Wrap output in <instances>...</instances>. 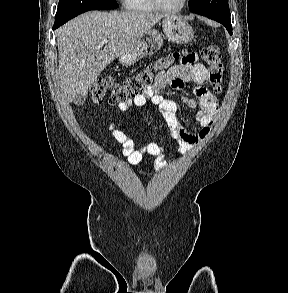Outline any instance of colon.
Returning a JSON list of instances; mask_svg holds the SVG:
<instances>
[{
	"label": "colon",
	"instance_id": "colon-1",
	"mask_svg": "<svg viewBox=\"0 0 288 293\" xmlns=\"http://www.w3.org/2000/svg\"><path fill=\"white\" fill-rule=\"evenodd\" d=\"M201 55L208 65L212 88L219 93L224 72L219 48L214 44L207 45L202 48ZM185 56L186 54L179 52L163 56L123 82H116L111 77H101L95 81L91 88L92 101L95 104L101 103L104 99H107L110 104L126 102L150 88L159 73L173 68V65L184 59Z\"/></svg>",
	"mask_w": 288,
	"mask_h": 293
}]
</instances>
